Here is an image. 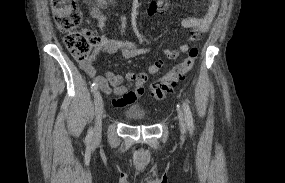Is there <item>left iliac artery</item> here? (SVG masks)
Wrapping results in <instances>:
<instances>
[{
  "mask_svg": "<svg viewBox=\"0 0 285 183\" xmlns=\"http://www.w3.org/2000/svg\"><path fill=\"white\" fill-rule=\"evenodd\" d=\"M182 106H183V110H184V114H185V120H186L188 129L192 132L194 129V123H193V117H192L191 109H190L187 102H183Z\"/></svg>",
  "mask_w": 285,
  "mask_h": 183,
  "instance_id": "44dca946",
  "label": "left iliac artery"
}]
</instances>
